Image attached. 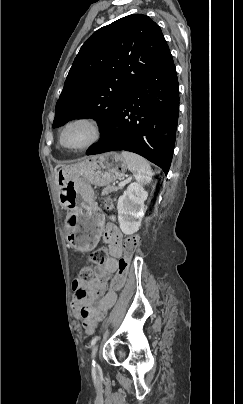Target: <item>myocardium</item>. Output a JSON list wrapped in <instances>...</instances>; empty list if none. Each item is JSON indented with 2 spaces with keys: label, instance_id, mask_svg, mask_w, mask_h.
I'll return each mask as SVG.
<instances>
[{
  "label": "myocardium",
  "instance_id": "myocardium-1",
  "mask_svg": "<svg viewBox=\"0 0 243 404\" xmlns=\"http://www.w3.org/2000/svg\"><path fill=\"white\" fill-rule=\"evenodd\" d=\"M80 121L88 122L92 126L93 131H94L93 138L91 139L90 142H88L87 144H85L81 147H68L67 145H65V143L63 141L64 133L70 125H72L73 123H76V122H80ZM102 135H103V127H102L100 120L97 117L90 115V114H78V115H75V116L69 118L68 120H66L63 123V125L61 126V128L59 130L58 140H59L60 146L67 151L83 152V151H87V150L91 149L92 147H94L101 140Z\"/></svg>",
  "mask_w": 243,
  "mask_h": 404
}]
</instances>
